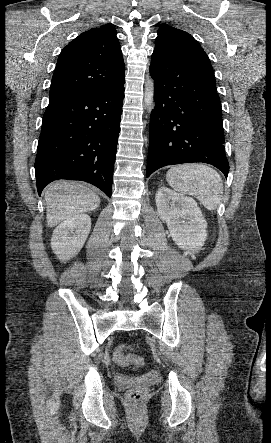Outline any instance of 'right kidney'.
Listing matches in <instances>:
<instances>
[{
  "instance_id": "right-kidney-1",
  "label": "right kidney",
  "mask_w": 271,
  "mask_h": 443,
  "mask_svg": "<svg viewBox=\"0 0 271 443\" xmlns=\"http://www.w3.org/2000/svg\"><path fill=\"white\" fill-rule=\"evenodd\" d=\"M91 229V218L84 212L66 218L55 227L51 237V247L59 259L65 261L74 257L85 243Z\"/></svg>"
}]
</instances>
